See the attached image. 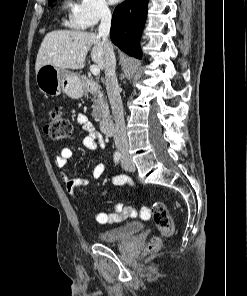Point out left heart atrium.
<instances>
[{
	"label": "left heart atrium",
	"mask_w": 247,
	"mask_h": 296,
	"mask_svg": "<svg viewBox=\"0 0 247 296\" xmlns=\"http://www.w3.org/2000/svg\"><path fill=\"white\" fill-rule=\"evenodd\" d=\"M118 1H120V0H110L111 3H116Z\"/></svg>",
	"instance_id": "39dd6f15"
}]
</instances>
